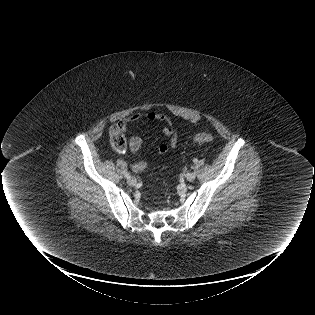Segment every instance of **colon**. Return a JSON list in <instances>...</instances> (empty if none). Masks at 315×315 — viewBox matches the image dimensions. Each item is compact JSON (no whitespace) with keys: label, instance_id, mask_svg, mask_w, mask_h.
I'll use <instances>...</instances> for the list:
<instances>
[{"label":"colon","instance_id":"5ec220e1","mask_svg":"<svg viewBox=\"0 0 315 315\" xmlns=\"http://www.w3.org/2000/svg\"><path fill=\"white\" fill-rule=\"evenodd\" d=\"M123 132L119 123L112 126L109 132L112 149L120 154L127 151V141ZM213 140L214 136L211 133H200L194 137V141L197 143H211Z\"/></svg>","mask_w":315,"mask_h":315}]
</instances>
